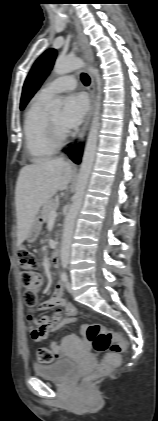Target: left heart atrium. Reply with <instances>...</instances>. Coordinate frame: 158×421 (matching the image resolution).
<instances>
[{
  "mask_svg": "<svg viewBox=\"0 0 158 421\" xmlns=\"http://www.w3.org/2000/svg\"><path fill=\"white\" fill-rule=\"evenodd\" d=\"M87 100L82 94H71L64 100L60 123L64 130L78 126L87 111Z\"/></svg>",
  "mask_w": 158,
  "mask_h": 421,
  "instance_id": "39dd6f15",
  "label": "left heart atrium"
}]
</instances>
